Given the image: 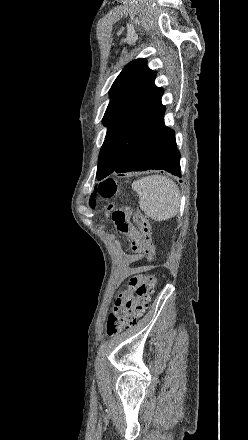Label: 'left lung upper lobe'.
I'll return each mask as SVG.
<instances>
[{
    "label": "left lung upper lobe",
    "mask_w": 248,
    "mask_h": 440,
    "mask_svg": "<svg viewBox=\"0 0 248 440\" xmlns=\"http://www.w3.org/2000/svg\"><path fill=\"white\" fill-rule=\"evenodd\" d=\"M155 77L146 59H137L113 83L103 117L107 133L99 154L98 180L111 174L131 148L164 124V91L155 86Z\"/></svg>",
    "instance_id": "left-lung-upper-lobe-1"
}]
</instances>
